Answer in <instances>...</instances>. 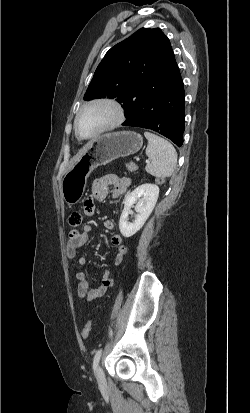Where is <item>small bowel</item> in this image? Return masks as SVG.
Segmentation results:
<instances>
[{
  "label": "small bowel",
  "instance_id": "obj_1",
  "mask_svg": "<svg viewBox=\"0 0 250 413\" xmlns=\"http://www.w3.org/2000/svg\"><path fill=\"white\" fill-rule=\"evenodd\" d=\"M130 185V180L127 177H121L116 174H107L95 179L91 186V194L86 198L84 203V212L86 215H92L94 213L95 200L103 201L109 195L110 189L113 198H118L126 192ZM115 224L111 219L104 221V227L108 230H112ZM92 232V226L86 224L82 230L73 229L70 234L66 245V255L69 260H75L76 267V279L78 280L77 296L80 299L88 302L95 301L101 298L109 287L113 285V278L109 270H105L96 286H90L86 274L83 271V267L87 264L88 259L85 255H79V250L84 246L88 240L90 233ZM111 243L116 248L114 264L119 266L122 264L124 257L127 253V247L123 243V237L119 233H115L111 237Z\"/></svg>",
  "mask_w": 250,
  "mask_h": 413
}]
</instances>
